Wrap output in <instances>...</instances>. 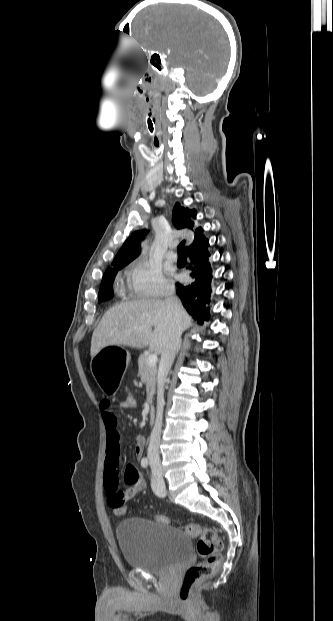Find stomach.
I'll return each mask as SVG.
<instances>
[{
	"label": "stomach",
	"instance_id": "0dacf381",
	"mask_svg": "<svg viewBox=\"0 0 333 621\" xmlns=\"http://www.w3.org/2000/svg\"><path fill=\"white\" fill-rule=\"evenodd\" d=\"M100 349L95 350L92 357L98 390L103 396H116L121 390L120 379L126 371L130 354L117 341H105Z\"/></svg>",
	"mask_w": 333,
	"mask_h": 621
}]
</instances>
